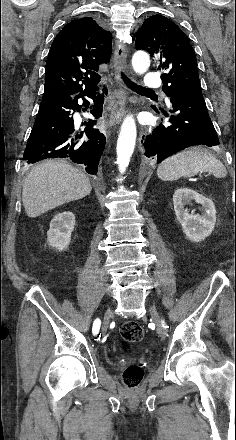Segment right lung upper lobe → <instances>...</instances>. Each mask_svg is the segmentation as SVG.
I'll use <instances>...</instances> for the list:
<instances>
[{
	"label": "right lung upper lobe",
	"mask_w": 236,
	"mask_h": 440,
	"mask_svg": "<svg viewBox=\"0 0 236 440\" xmlns=\"http://www.w3.org/2000/svg\"><path fill=\"white\" fill-rule=\"evenodd\" d=\"M111 33L93 19L71 21L57 34L46 61L42 100L98 90L99 66L110 61Z\"/></svg>",
	"instance_id": "cb5924a9"
}]
</instances>
